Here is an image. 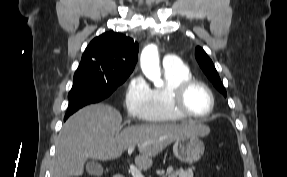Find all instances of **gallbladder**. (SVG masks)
I'll list each match as a JSON object with an SVG mask.
<instances>
[{
  "mask_svg": "<svg viewBox=\"0 0 287 177\" xmlns=\"http://www.w3.org/2000/svg\"><path fill=\"white\" fill-rule=\"evenodd\" d=\"M86 171L91 176H99L103 173V168L97 161L91 160L86 164Z\"/></svg>",
  "mask_w": 287,
  "mask_h": 177,
  "instance_id": "bac80fb5",
  "label": "gallbladder"
}]
</instances>
